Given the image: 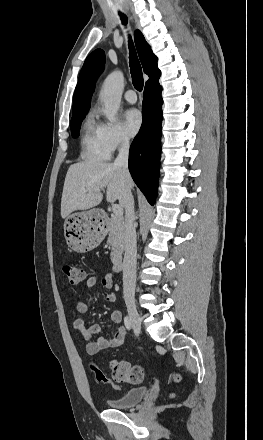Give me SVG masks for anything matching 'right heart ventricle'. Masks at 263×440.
<instances>
[{"instance_id":"obj_1","label":"right heart ventricle","mask_w":263,"mask_h":440,"mask_svg":"<svg viewBox=\"0 0 263 440\" xmlns=\"http://www.w3.org/2000/svg\"><path fill=\"white\" fill-rule=\"evenodd\" d=\"M80 146L81 157L86 161H104L110 156L102 138V125L92 115L85 120Z\"/></svg>"}]
</instances>
